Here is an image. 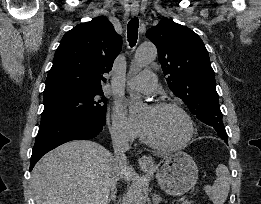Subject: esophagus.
I'll list each match as a JSON object with an SVG mask.
<instances>
[{
	"instance_id": "34e87169",
	"label": "esophagus",
	"mask_w": 261,
	"mask_h": 204,
	"mask_svg": "<svg viewBox=\"0 0 261 204\" xmlns=\"http://www.w3.org/2000/svg\"><path fill=\"white\" fill-rule=\"evenodd\" d=\"M139 13V6L136 4L131 5V14L136 16ZM139 165L142 169H151L154 167V160L151 156H142L139 159Z\"/></svg>"
}]
</instances>
